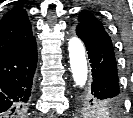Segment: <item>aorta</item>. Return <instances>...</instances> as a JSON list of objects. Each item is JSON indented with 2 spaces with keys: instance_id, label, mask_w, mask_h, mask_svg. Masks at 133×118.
<instances>
[{
  "instance_id": "1",
  "label": "aorta",
  "mask_w": 133,
  "mask_h": 118,
  "mask_svg": "<svg viewBox=\"0 0 133 118\" xmlns=\"http://www.w3.org/2000/svg\"><path fill=\"white\" fill-rule=\"evenodd\" d=\"M68 51L73 80L77 87L84 88L88 80V67L82 41L77 37L69 39Z\"/></svg>"
}]
</instances>
